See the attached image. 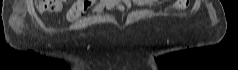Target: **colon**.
I'll return each mask as SVG.
<instances>
[{"label": "colon", "mask_w": 238, "mask_h": 70, "mask_svg": "<svg viewBox=\"0 0 238 70\" xmlns=\"http://www.w3.org/2000/svg\"><path fill=\"white\" fill-rule=\"evenodd\" d=\"M64 0H37V9L39 12H49V13H57L61 10L63 6ZM181 4V7H185L188 4L187 0H179L176 1Z\"/></svg>", "instance_id": "colon-1"}]
</instances>
